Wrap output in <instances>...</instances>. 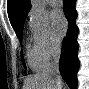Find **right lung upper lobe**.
<instances>
[{"instance_id":"1","label":"right lung upper lobe","mask_w":89,"mask_h":89,"mask_svg":"<svg viewBox=\"0 0 89 89\" xmlns=\"http://www.w3.org/2000/svg\"><path fill=\"white\" fill-rule=\"evenodd\" d=\"M31 9L30 0H8V16L14 30L24 22L28 12Z\"/></svg>"}]
</instances>
